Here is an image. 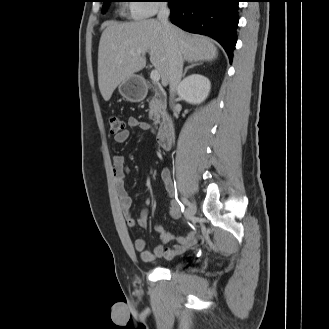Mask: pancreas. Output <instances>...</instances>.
<instances>
[{"label":"pancreas","mask_w":329,"mask_h":329,"mask_svg":"<svg viewBox=\"0 0 329 329\" xmlns=\"http://www.w3.org/2000/svg\"><path fill=\"white\" fill-rule=\"evenodd\" d=\"M155 95L149 102V119L153 120L155 125L160 123L161 116L166 111V100L157 89H154Z\"/></svg>","instance_id":"pancreas-1"}]
</instances>
